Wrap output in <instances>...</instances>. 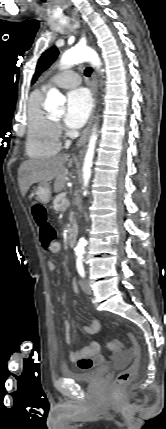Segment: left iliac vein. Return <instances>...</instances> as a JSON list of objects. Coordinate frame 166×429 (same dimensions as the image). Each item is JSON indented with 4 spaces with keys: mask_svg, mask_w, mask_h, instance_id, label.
I'll use <instances>...</instances> for the list:
<instances>
[{
    "mask_svg": "<svg viewBox=\"0 0 166 429\" xmlns=\"http://www.w3.org/2000/svg\"><path fill=\"white\" fill-rule=\"evenodd\" d=\"M80 285H81V288H82V290L86 293V294H92V289H91V287H90V284H89V282L86 280V279H82L81 281H80Z\"/></svg>",
    "mask_w": 166,
    "mask_h": 429,
    "instance_id": "left-iliac-vein-1",
    "label": "left iliac vein"
}]
</instances>
